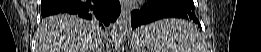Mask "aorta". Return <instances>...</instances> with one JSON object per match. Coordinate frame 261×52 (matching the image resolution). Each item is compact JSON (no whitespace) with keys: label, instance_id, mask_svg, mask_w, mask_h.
Returning a JSON list of instances; mask_svg holds the SVG:
<instances>
[{"label":"aorta","instance_id":"aorta-1","mask_svg":"<svg viewBox=\"0 0 261 52\" xmlns=\"http://www.w3.org/2000/svg\"><path fill=\"white\" fill-rule=\"evenodd\" d=\"M131 27V21L129 19H119L112 28V41L116 47L120 46L127 36Z\"/></svg>","mask_w":261,"mask_h":52}]
</instances>
